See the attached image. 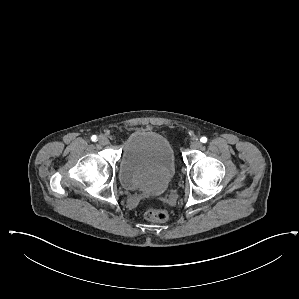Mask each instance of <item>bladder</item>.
I'll return each instance as SVG.
<instances>
[{
  "mask_svg": "<svg viewBox=\"0 0 299 299\" xmlns=\"http://www.w3.org/2000/svg\"><path fill=\"white\" fill-rule=\"evenodd\" d=\"M175 171L174 149L165 136L136 130L127 137L118 169L124 188L160 194L169 186Z\"/></svg>",
  "mask_w": 299,
  "mask_h": 299,
  "instance_id": "1",
  "label": "bladder"
}]
</instances>
